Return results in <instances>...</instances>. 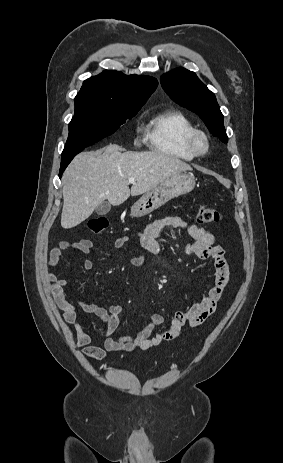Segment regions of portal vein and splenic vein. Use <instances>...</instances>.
<instances>
[{"label":"portal vein and splenic vein","mask_w":283,"mask_h":463,"mask_svg":"<svg viewBox=\"0 0 283 463\" xmlns=\"http://www.w3.org/2000/svg\"><path fill=\"white\" fill-rule=\"evenodd\" d=\"M128 182L131 183V184H133V183L135 182V179H134V178H129V179H128Z\"/></svg>","instance_id":"portal-vein-and-splenic-vein-1"}]
</instances>
